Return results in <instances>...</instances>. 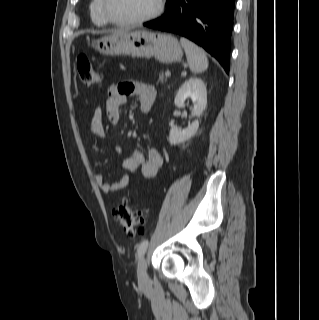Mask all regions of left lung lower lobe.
Masks as SVG:
<instances>
[{"label":"left lung lower lobe","instance_id":"obj_1","mask_svg":"<svg viewBox=\"0 0 319 320\" xmlns=\"http://www.w3.org/2000/svg\"><path fill=\"white\" fill-rule=\"evenodd\" d=\"M234 6L235 0H168L166 12L144 26L194 41L228 73Z\"/></svg>","mask_w":319,"mask_h":320}]
</instances>
